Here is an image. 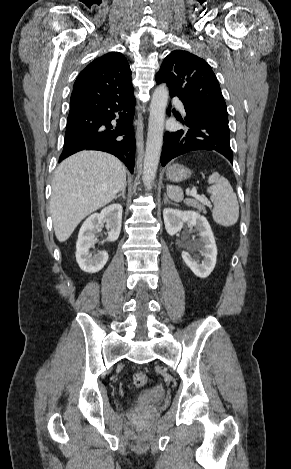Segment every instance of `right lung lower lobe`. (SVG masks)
Listing matches in <instances>:
<instances>
[{"label": "right lung lower lobe", "instance_id": "1", "mask_svg": "<svg viewBox=\"0 0 291 469\" xmlns=\"http://www.w3.org/2000/svg\"><path fill=\"white\" fill-rule=\"evenodd\" d=\"M135 98L116 93L71 106L59 162L82 150H100L117 156L131 173L135 137L132 120Z\"/></svg>", "mask_w": 291, "mask_h": 469}]
</instances>
